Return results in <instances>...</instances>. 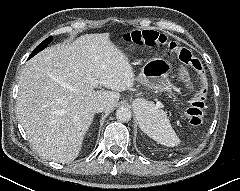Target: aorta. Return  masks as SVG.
Masks as SVG:
<instances>
[{
  "label": "aorta",
  "mask_w": 240,
  "mask_h": 191,
  "mask_svg": "<svg viewBox=\"0 0 240 191\" xmlns=\"http://www.w3.org/2000/svg\"><path fill=\"white\" fill-rule=\"evenodd\" d=\"M142 105L144 108H147L149 106L148 102L142 101ZM139 110V109H137ZM132 114L129 108L127 107H119L116 111V118L120 122H128L131 120Z\"/></svg>",
  "instance_id": "obj_1"
}]
</instances>
